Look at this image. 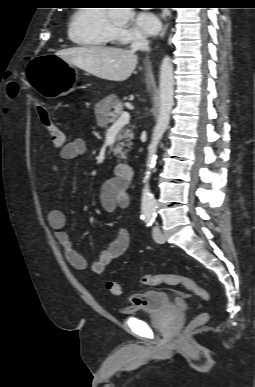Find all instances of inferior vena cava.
I'll list each match as a JSON object with an SVG mask.
<instances>
[{
	"label": "inferior vena cava",
	"instance_id": "obj_1",
	"mask_svg": "<svg viewBox=\"0 0 255 387\" xmlns=\"http://www.w3.org/2000/svg\"><path fill=\"white\" fill-rule=\"evenodd\" d=\"M132 51H136L138 49L142 51H149V42L148 40L143 36H138L134 39L132 45H131Z\"/></svg>",
	"mask_w": 255,
	"mask_h": 387
}]
</instances>
